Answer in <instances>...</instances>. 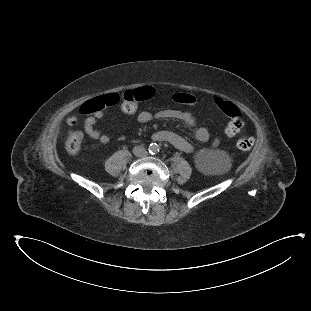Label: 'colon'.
<instances>
[{
    "label": "colon",
    "mask_w": 311,
    "mask_h": 311,
    "mask_svg": "<svg viewBox=\"0 0 311 311\" xmlns=\"http://www.w3.org/2000/svg\"><path fill=\"white\" fill-rule=\"evenodd\" d=\"M154 93V87L143 86L134 90H122L119 93L102 94L98 98L91 97L83 102L75 113H71L70 122L74 126H82L91 121L95 114L100 110H108L110 108L123 107L127 113H133L137 110L139 102L150 99ZM173 100L181 104H192L193 97L186 93H177L173 96ZM213 104L219 107L224 113L228 114L232 119L226 128V133L229 136H235L236 132L241 128L246 116L240 112L238 108L228 99H224L222 95H215L213 97ZM245 130L247 132H254L256 130V123L250 121ZM84 135L81 131L73 130L69 132L64 146L70 155H76L83 144ZM255 143V135L253 133H246L242 135L237 142L238 148L243 151L250 150Z\"/></svg>",
    "instance_id": "5ec220e1"
}]
</instances>
